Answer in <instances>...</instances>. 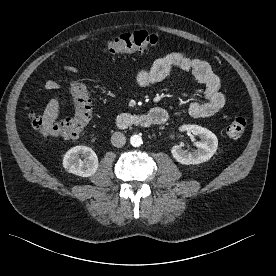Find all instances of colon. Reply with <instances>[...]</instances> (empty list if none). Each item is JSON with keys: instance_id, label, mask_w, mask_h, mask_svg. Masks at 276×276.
I'll return each mask as SVG.
<instances>
[{"instance_id": "obj_1", "label": "colon", "mask_w": 276, "mask_h": 276, "mask_svg": "<svg viewBox=\"0 0 276 276\" xmlns=\"http://www.w3.org/2000/svg\"><path fill=\"white\" fill-rule=\"evenodd\" d=\"M159 43L158 37L154 34L146 31H134L104 40L102 51L104 53L131 52L154 48ZM69 90L73 113L51 125L47 126L42 115L32 109L30 104L27 105L30 121L35 129L44 130L59 138L71 139L78 136L89 125L92 118V102L86 87L83 83L75 81L70 83ZM245 129L246 120L237 117L227 124L225 133L228 137L236 139L243 135Z\"/></svg>"}]
</instances>
